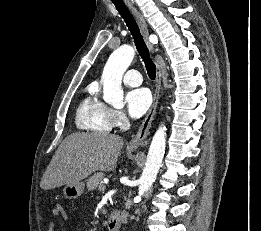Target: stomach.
I'll return each mask as SVG.
<instances>
[{
    "mask_svg": "<svg viewBox=\"0 0 261 231\" xmlns=\"http://www.w3.org/2000/svg\"><path fill=\"white\" fill-rule=\"evenodd\" d=\"M84 187L85 184L82 181L74 184L69 183L64 187L63 193L67 199H75L82 195Z\"/></svg>",
    "mask_w": 261,
    "mask_h": 231,
    "instance_id": "0dacf381",
    "label": "stomach"
}]
</instances>
